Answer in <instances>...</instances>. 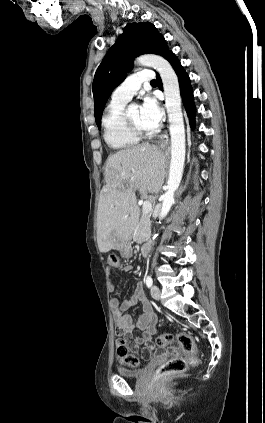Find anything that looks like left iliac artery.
<instances>
[{
	"mask_svg": "<svg viewBox=\"0 0 265 423\" xmlns=\"http://www.w3.org/2000/svg\"><path fill=\"white\" fill-rule=\"evenodd\" d=\"M145 282H146L147 287L150 288L153 284V280H152L151 276H147Z\"/></svg>",
	"mask_w": 265,
	"mask_h": 423,
	"instance_id": "obj_1",
	"label": "left iliac artery"
}]
</instances>
